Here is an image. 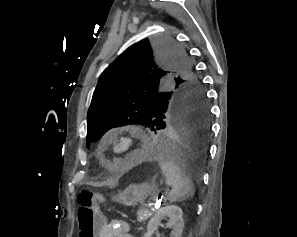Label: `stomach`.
<instances>
[{"instance_id":"1","label":"stomach","mask_w":297,"mask_h":237,"mask_svg":"<svg viewBox=\"0 0 297 237\" xmlns=\"http://www.w3.org/2000/svg\"><path fill=\"white\" fill-rule=\"evenodd\" d=\"M157 185L152 182L131 184L124 191L114 197L116 202L125 206H136L155 195Z\"/></svg>"}]
</instances>
